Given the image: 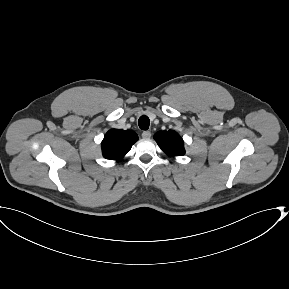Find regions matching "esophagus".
<instances>
[{
	"label": "esophagus",
	"mask_w": 289,
	"mask_h": 289,
	"mask_svg": "<svg viewBox=\"0 0 289 289\" xmlns=\"http://www.w3.org/2000/svg\"><path fill=\"white\" fill-rule=\"evenodd\" d=\"M142 137L147 139L151 137V132L150 131H143L142 132Z\"/></svg>",
	"instance_id": "1"
}]
</instances>
